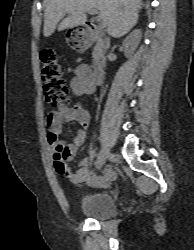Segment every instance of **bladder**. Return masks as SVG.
<instances>
[{"label": "bladder", "instance_id": "bladder-1", "mask_svg": "<svg viewBox=\"0 0 194 250\" xmlns=\"http://www.w3.org/2000/svg\"><path fill=\"white\" fill-rule=\"evenodd\" d=\"M80 212L94 219H104L112 216L116 210L113 197L106 193H91L80 201Z\"/></svg>", "mask_w": 194, "mask_h": 250}]
</instances>
